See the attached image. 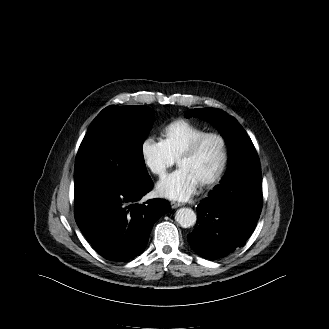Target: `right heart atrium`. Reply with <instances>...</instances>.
I'll use <instances>...</instances> for the list:
<instances>
[{
  "label": "right heart atrium",
  "instance_id": "1",
  "mask_svg": "<svg viewBox=\"0 0 329 329\" xmlns=\"http://www.w3.org/2000/svg\"><path fill=\"white\" fill-rule=\"evenodd\" d=\"M140 152L146 167L159 177L164 176L167 170L176 162L163 141L152 137L143 139Z\"/></svg>",
  "mask_w": 329,
  "mask_h": 329
}]
</instances>
